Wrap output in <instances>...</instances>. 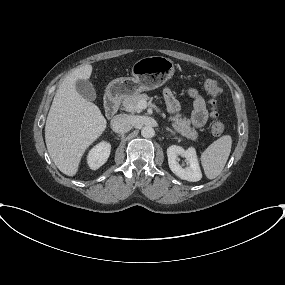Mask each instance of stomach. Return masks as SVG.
<instances>
[{"mask_svg": "<svg viewBox=\"0 0 285 285\" xmlns=\"http://www.w3.org/2000/svg\"><path fill=\"white\" fill-rule=\"evenodd\" d=\"M174 72L171 59L163 56L144 57L134 63L132 77L112 80L106 88V94L113 98H126L142 91L154 90L172 78Z\"/></svg>", "mask_w": 285, "mask_h": 285, "instance_id": "stomach-1", "label": "stomach"}]
</instances>
